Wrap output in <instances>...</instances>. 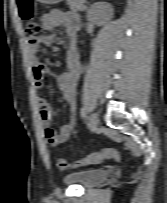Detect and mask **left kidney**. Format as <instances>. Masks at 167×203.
<instances>
[{
    "label": "left kidney",
    "instance_id": "left-kidney-1",
    "mask_svg": "<svg viewBox=\"0 0 167 203\" xmlns=\"http://www.w3.org/2000/svg\"><path fill=\"white\" fill-rule=\"evenodd\" d=\"M113 16L110 5L105 3H95L87 13V20L98 26L104 25Z\"/></svg>",
    "mask_w": 167,
    "mask_h": 203
}]
</instances>
